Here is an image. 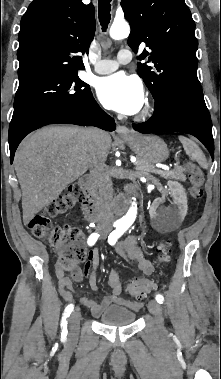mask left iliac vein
I'll return each mask as SVG.
<instances>
[{
  "label": "left iliac vein",
  "mask_w": 221,
  "mask_h": 379,
  "mask_svg": "<svg viewBox=\"0 0 221 379\" xmlns=\"http://www.w3.org/2000/svg\"><path fill=\"white\" fill-rule=\"evenodd\" d=\"M148 309L150 313L155 317L156 323L160 329H163V316H162V308L160 304L155 301L151 300L148 303Z\"/></svg>",
  "instance_id": "obj_1"
}]
</instances>
